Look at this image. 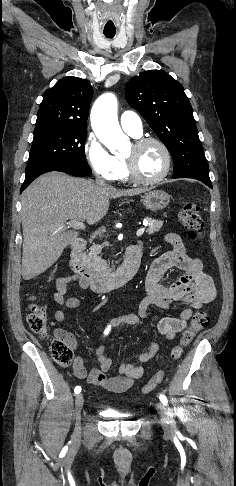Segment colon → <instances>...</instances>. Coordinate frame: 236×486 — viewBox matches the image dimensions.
<instances>
[{"label": "colon", "instance_id": "5ec220e1", "mask_svg": "<svg viewBox=\"0 0 236 486\" xmlns=\"http://www.w3.org/2000/svg\"><path fill=\"white\" fill-rule=\"evenodd\" d=\"M179 219L184 228L187 230L189 238L198 239L202 235L204 222L198 204L194 202L184 203L179 212ZM27 321L30 329L34 333L40 335L41 337L48 336L49 331L47 326L46 311L41 305L36 303H32L30 305ZM208 324L209 315L206 311H198L194 314L190 327L182 333L179 343L172 350V361L180 358L184 348L192 342L197 332L205 328ZM51 353L54 361L60 366L67 367L73 361V351L71 346L58 335H55L51 342ZM168 367L169 366L158 371L155 376L143 386V394L150 393L162 382Z\"/></svg>", "mask_w": 236, "mask_h": 486}]
</instances>
